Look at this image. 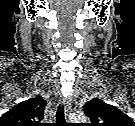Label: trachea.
Segmentation results:
<instances>
[{
    "mask_svg": "<svg viewBox=\"0 0 135 126\" xmlns=\"http://www.w3.org/2000/svg\"><path fill=\"white\" fill-rule=\"evenodd\" d=\"M65 123V118H64V106L59 105L57 112H56V124L61 125Z\"/></svg>",
    "mask_w": 135,
    "mask_h": 126,
    "instance_id": "1",
    "label": "trachea"
}]
</instances>
